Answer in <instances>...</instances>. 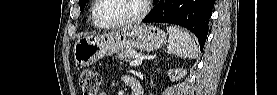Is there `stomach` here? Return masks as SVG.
<instances>
[{
  "label": "stomach",
  "mask_w": 277,
  "mask_h": 95,
  "mask_svg": "<svg viewBox=\"0 0 277 95\" xmlns=\"http://www.w3.org/2000/svg\"><path fill=\"white\" fill-rule=\"evenodd\" d=\"M166 43V34L153 25H135L108 34L88 36L77 40L73 48L75 63L87 67L106 55L137 48L154 51Z\"/></svg>",
  "instance_id": "stomach-1"
}]
</instances>
